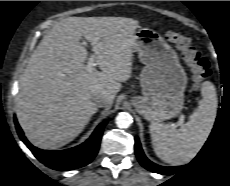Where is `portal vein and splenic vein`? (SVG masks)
Segmentation results:
<instances>
[{
	"mask_svg": "<svg viewBox=\"0 0 230 186\" xmlns=\"http://www.w3.org/2000/svg\"><path fill=\"white\" fill-rule=\"evenodd\" d=\"M95 66H96V63H95V61H94L93 56H91V57L89 58L88 63H87V65H86L85 68H86V70H87L88 72H92ZM180 123H182V122H180Z\"/></svg>",
	"mask_w": 230,
	"mask_h": 186,
	"instance_id": "18ae733b",
	"label": "portal vein and splenic vein"
}]
</instances>
